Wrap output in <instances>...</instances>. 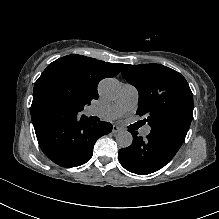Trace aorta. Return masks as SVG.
I'll return each instance as SVG.
<instances>
[{"label":"aorta","instance_id":"aorta-1","mask_svg":"<svg viewBox=\"0 0 219 219\" xmlns=\"http://www.w3.org/2000/svg\"><path fill=\"white\" fill-rule=\"evenodd\" d=\"M120 83L115 78L103 79L98 87L101 96L107 100H114L120 92ZM133 137L128 131H120L116 135V142L120 148H127L132 144Z\"/></svg>","mask_w":219,"mask_h":219}]
</instances>
